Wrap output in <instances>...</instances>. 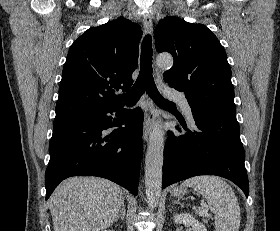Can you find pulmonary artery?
Instances as JSON below:
<instances>
[{"mask_svg": "<svg viewBox=\"0 0 280 231\" xmlns=\"http://www.w3.org/2000/svg\"><path fill=\"white\" fill-rule=\"evenodd\" d=\"M165 96L168 99L176 101L179 105H189L188 100L185 97L183 92L175 91L172 89H165L164 91ZM183 113H192V110H182ZM189 122H193V118H186Z\"/></svg>", "mask_w": 280, "mask_h": 231, "instance_id": "e3ab8cb5", "label": "pulmonary artery"}]
</instances>
